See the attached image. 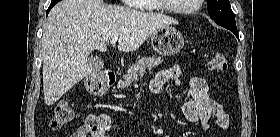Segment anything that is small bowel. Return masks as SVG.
<instances>
[{
    "label": "small bowel",
    "mask_w": 280,
    "mask_h": 137,
    "mask_svg": "<svg viewBox=\"0 0 280 137\" xmlns=\"http://www.w3.org/2000/svg\"><path fill=\"white\" fill-rule=\"evenodd\" d=\"M179 85L182 81L180 66L173 65L161 70L151 81V92L158 94L168 82ZM183 114L191 122L200 124L203 131H207L213 120L220 128L230 125V116L225 109L208 94V84L201 76H192L188 81L187 99L183 104ZM97 120V127L89 125L91 118ZM87 119L85 125L79 127L72 137H107L111 117L100 114Z\"/></svg>",
    "instance_id": "c3829d8e"
}]
</instances>
